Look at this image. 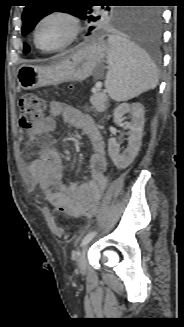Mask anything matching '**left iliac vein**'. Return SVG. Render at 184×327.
<instances>
[{"label": "left iliac vein", "instance_id": "4c4485c4", "mask_svg": "<svg viewBox=\"0 0 184 327\" xmlns=\"http://www.w3.org/2000/svg\"><path fill=\"white\" fill-rule=\"evenodd\" d=\"M87 250L88 246L85 245L83 249L81 250L79 256H78V267L81 273H85L86 271V265H87Z\"/></svg>", "mask_w": 184, "mask_h": 327}]
</instances>
